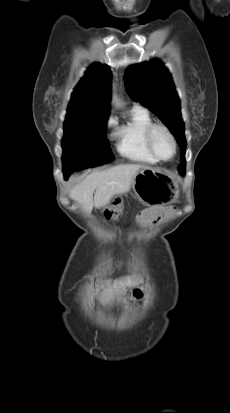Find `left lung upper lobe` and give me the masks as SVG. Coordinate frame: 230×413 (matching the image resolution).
<instances>
[{"instance_id": "left-lung-upper-lobe-1", "label": "left lung upper lobe", "mask_w": 230, "mask_h": 413, "mask_svg": "<svg viewBox=\"0 0 230 413\" xmlns=\"http://www.w3.org/2000/svg\"><path fill=\"white\" fill-rule=\"evenodd\" d=\"M125 85L129 95L153 111L168 127L181 151L180 174L185 173V130L181 119L178 94L171 75L158 59L132 65L125 72Z\"/></svg>"}]
</instances>
